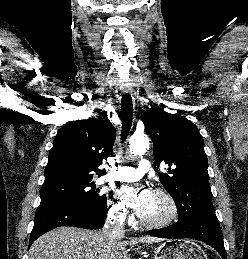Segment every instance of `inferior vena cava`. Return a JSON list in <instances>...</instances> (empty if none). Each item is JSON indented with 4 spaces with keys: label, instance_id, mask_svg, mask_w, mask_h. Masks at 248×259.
I'll use <instances>...</instances> for the list:
<instances>
[{
    "label": "inferior vena cava",
    "instance_id": "inferior-vena-cava-1",
    "mask_svg": "<svg viewBox=\"0 0 248 259\" xmlns=\"http://www.w3.org/2000/svg\"><path fill=\"white\" fill-rule=\"evenodd\" d=\"M125 217L123 214H110L106 220L103 228V234L107 235L110 239L123 237Z\"/></svg>",
    "mask_w": 248,
    "mask_h": 259
}]
</instances>
